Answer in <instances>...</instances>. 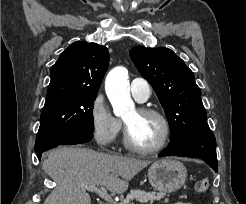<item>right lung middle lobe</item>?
<instances>
[{
    "mask_svg": "<svg viewBox=\"0 0 246 204\" xmlns=\"http://www.w3.org/2000/svg\"><path fill=\"white\" fill-rule=\"evenodd\" d=\"M92 95H67L46 101L38 130L35 152L61 145L80 131L93 133Z\"/></svg>",
    "mask_w": 246,
    "mask_h": 204,
    "instance_id": "1",
    "label": "right lung middle lobe"
}]
</instances>
